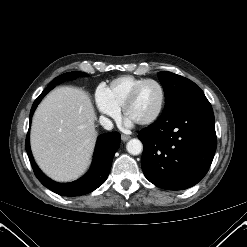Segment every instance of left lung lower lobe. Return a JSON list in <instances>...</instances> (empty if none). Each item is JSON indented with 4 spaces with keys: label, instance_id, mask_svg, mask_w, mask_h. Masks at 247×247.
<instances>
[{
    "label": "left lung lower lobe",
    "instance_id": "1",
    "mask_svg": "<svg viewBox=\"0 0 247 247\" xmlns=\"http://www.w3.org/2000/svg\"><path fill=\"white\" fill-rule=\"evenodd\" d=\"M145 177L167 190H183L207 173L217 146L212 106L204 93L184 97L140 131Z\"/></svg>",
    "mask_w": 247,
    "mask_h": 247
}]
</instances>
